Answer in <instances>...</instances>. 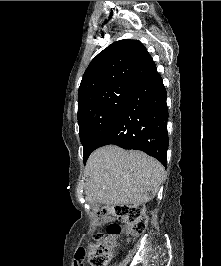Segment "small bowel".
<instances>
[{
  "label": "small bowel",
  "instance_id": "small-bowel-1",
  "mask_svg": "<svg viewBox=\"0 0 221 266\" xmlns=\"http://www.w3.org/2000/svg\"><path fill=\"white\" fill-rule=\"evenodd\" d=\"M108 219V217L105 218V220ZM77 250L79 252H74V266H87V263H85V252H80V251H85L86 247L85 246H78Z\"/></svg>",
  "mask_w": 221,
  "mask_h": 266
}]
</instances>
